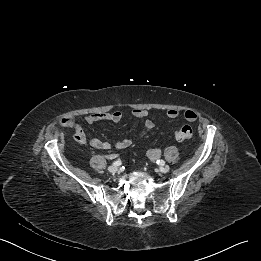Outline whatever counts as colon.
Here are the masks:
<instances>
[{
    "mask_svg": "<svg viewBox=\"0 0 261 261\" xmlns=\"http://www.w3.org/2000/svg\"><path fill=\"white\" fill-rule=\"evenodd\" d=\"M62 121L67 124L70 120L69 119H63ZM174 136L179 141L189 140L193 136V130H192L191 126L185 125V126H182L179 129H177L174 133Z\"/></svg>",
    "mask_w": 261,
    "mask_h": 261,
    "instance_id": "obj_1",
    "label": "colon"
}]
</instances>
